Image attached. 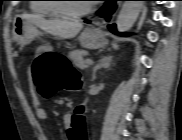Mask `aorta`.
I'll list each match as a JSON object with an SVG mask.
<instances>
[{
	"instance_id": "obj_1",
	"label": "aorta",
	"mask_w": 182,
	"mask_h": 140,
	"mask_svg": "<svg viewBox=\"0 0 182 140\" xmlns=\"http://www.w3.org/2000/svg\"><path fill=\"white\" fill-rule=\"evenodd\" d=\"M143 1H124L118 15L116 26L117 31L122 33L128 31L137 20Z\"/></svg>"
}]
</instances>
